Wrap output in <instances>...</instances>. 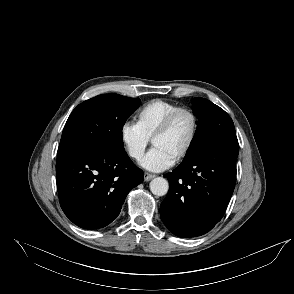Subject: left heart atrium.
<instances>
[{"label": "left heart atrium", "instance_id": "1", "mask_svg": "<svg viewBox=\"0 0 294 294\" xmlns=\"http://www.w3.org/2000/svg\"><path fill=\"white\" fill-rule=\"evenodd\" d=\"M176 158L159 147L152 148L142 160V167L149 171L160 172L170 168Z\"/></svg>", "mask_w": 294, "mask_h": 294}]
</instances>
